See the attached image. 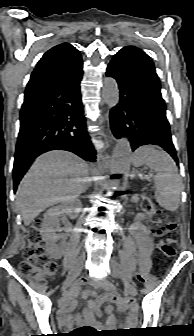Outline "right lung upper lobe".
I'll list each match as a JSON object with an SVG mask.
<instances>
[{
    "mask_svg": "<svg viewBox=\"0 0 194 336\" xmlns=\"http://www.w3.org/2000/svg\"><path fill=\"white\" fill-rule=\"evenodd\" d=\"M82 65L79 51L69 43H62L47 51L31 74L26 91L50 85Z\"/></svg>",
    "mask_w": 194,
    "mask_h": 336,
    "instance_id": "obj_1",
    "label": "right lung upper lobe"
}]
</instances>
